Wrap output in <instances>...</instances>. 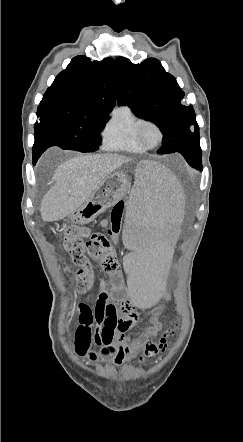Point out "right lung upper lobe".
<instances>
[{
	"mask_svg": "<svg viewBox=\"0 0 243 442\" xmlns=\"http://www.w3.org/2000/svg\"><path fill=\"white\" fill-rule=\"evenodd\" d=\"M117 89V67L112 58L92 62L80 55L55 78L42 100H52L77 111L110 113Z\"/></svg>",
	"mask_w": 243,
	"mask_h": 442,
	"instance_id": "right-lung-upper-lobe-1",
	"label": "right lung upper lobe"
}]
</instances>
